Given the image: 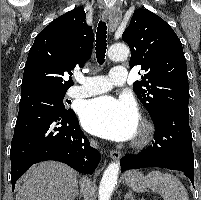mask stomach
<instances>
[{
  "label": "stomach",
  "mask_w": 201,
  "mask_h": 200,
  "mask_svg": "<svg viewBox=\"0 0 201 200\" xmlns=\"http://www.w3.org/2000/svg\"><path fill=\"white\" fill-rule=\"evenodd\" d=\"M126 184L136 192L147 190V179L140 172H132L126 177Z\"/></svg>",
  "instance_id": "0dacf381"
}]
</instances>
